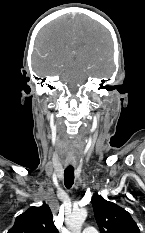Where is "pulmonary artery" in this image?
<instances>
[{
	"label": "pulmonary artery",
	"instance_id": "pulmonary-artery-1",
	"mask_svg": "<svg viewBox=\"0 0 145 233\" xmlns=\"http://www.w3.org/2000/svg\"><path fill=\"white\" fill-rule=\"evenodd\" d=\"M82 233H98V231L94 227H86Z\"/></svg>",
	"mask_w": 145,
	"mask_h": 233
}]
</instances>
